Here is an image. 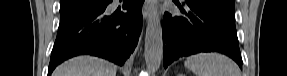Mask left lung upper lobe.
<instances>
[{"instance_id":"1","label":"left lung upper lobe","mask_w":287,"mask_h":76,"mask_svg":"<svg viewBox=\"0 0 287 76\" xmlns=\"http://www.w3.org/2000/svg\"><path fill=\"white\" fill-rule=\"evenodd\" d=\"M186 4L202 10L235 28L234 0H185Z\"/></svg>"}]
</instances>
